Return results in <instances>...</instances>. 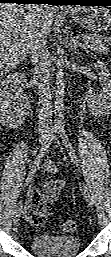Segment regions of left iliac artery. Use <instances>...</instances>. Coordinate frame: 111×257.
I'll return each instance as SVG.
<instances>
[{"mask_svg":"<svg viewBox=\"0 0 111 257\" xmlns=\"http://www.w3.org/2000/svg\"><path fill=\"white\" fill-rule=\"evenodd\" d=\"M59 134H60V137H61V139H62V142H63L64 146H65L66 149L68 150V153H69V155H70L72 161L75 163V165H76L77 167H79L78 158H77V156H76V154H75L74 149L72 148V145H71V143H70V141H69V139H68V136H67L65 130H64L63 128H61V129L59 130Z\"/></svg>","mask_w":111,"mask_h":257,"instance_id":"left-iliac-artery-1","label":"left iliac artery"}]
</instances>
